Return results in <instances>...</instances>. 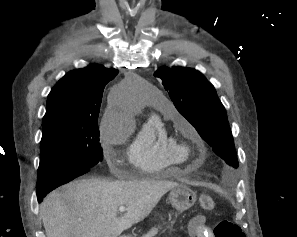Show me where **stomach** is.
<instances>
[{
    "label": "stomach",
    "instance_id": "0dacf381",
    "mask_svg": "<svg viewBox=\"0 0 297 237\" xmlns=\"http://www.w3.org/2000/svg\"><path fill=\"white\" fill-rule=\"evenodd\" d=\"M168 199L176 210L182 212L193 206L196 201V194L185 186H179L171 190Z\"/></svg>",
    "mask_w": 297,
    "mask_h": 237
}]
</instances>
